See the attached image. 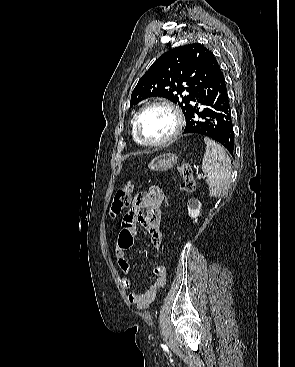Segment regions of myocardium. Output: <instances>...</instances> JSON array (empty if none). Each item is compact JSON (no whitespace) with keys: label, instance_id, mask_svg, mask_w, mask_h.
<instances>
[{"label":"myocardium","instance_id":"obj_1","mask_svg":"<svg viewBox=\"0 0 295 367\" xmlns=\"http://www.w3.org/2000/svg\"><path fill=\"white\" fill-rule=\"evenodd\" d=\"M153 107H164L168 109L173 114L174 119H175V128L173 132L166 138L162 140H158V141H148L144 139L141 135L140 127H139L140 119L143 113ZM182 128H183V117H182L181 112L179 111V109L176 106H174L172 103L168 101L150 102L144 105L142 108H140V110L136 113L135 118H134V133H135L137 140L142 145L149 146V147L164 146V145H167L173 142L180 135Z\"/></svg>","mask_w":295,"mask_h":367}]
</instances>
